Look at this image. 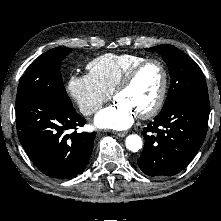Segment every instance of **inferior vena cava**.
<instances>
[{"mask_svg":"<svg viewBox=\"0 0 221 221\" xmlns=\"http://www.w3.org/2000/svg\"><path fill=\"white\" fill-rule=\"evenodd\" d=\"M98 109H99L98 106H94V107L89 108L86 113L91 114V113L96 112Z\"/></svg>","mask_w":221,"mask_h":221,"instance_id":"602c4592","label":"inferior vena cava"}]
</instances>
